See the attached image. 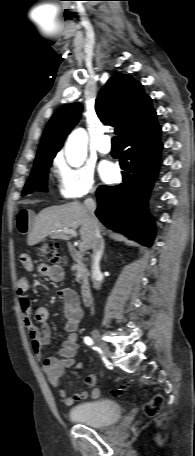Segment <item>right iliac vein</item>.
<instances>
[{
    "label": "right iliac vein",
    "mask_w": 195,
    "mask_h": 456,
    "mask_svg": "<svg viewBox=\"0 0 195 456\" xmlns=\"http://www.w3.org/2000/svg\"><path fill=\"white\" fill-rule=\"evenodd\" d=\"M92 338L93 340L97 343V345L100 347L102 350L103 354L107 357L111 356V352L109 350L108 345L101 339L100 334L98 330H93L92 331Z\"/></svg>",
    "instance_id": "63e3f726"
}]
</instances>
